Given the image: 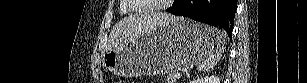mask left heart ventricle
<instances>
[{
    "mask_svg": "<svg viewBox=\"0 0 307 83\" xmlns=\"http://www.w3.org/2000/svg\"><path fill=\"white\" fill-rule=\"evenodd\" d=\"M164 0H142V1H136L137 3H140V5L145 7H150L154 5H158L159 3H162Z\"/></svg>",
    "mask_w": 307,
    "mask_h": 83,
    "instance_id": "left-heart-ventricle-1",
    "label": "left heart ventricle"
}]
</instances>
